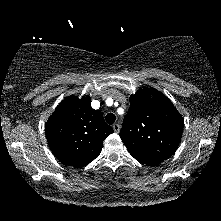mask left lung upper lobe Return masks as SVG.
I'll return each mask as SVG.
<instances>
[{
  "instance_id": "5c2ea615",
  "label": "left lung upper lobe",
  "mask_w": 221,
  "mask_h": 221,
  "mask_svg": "<svg viewBox=\"0 0 221 221\" xmlns=\"http://www.w3.org/2000/svg\"><path fill=\"white\" fill-rule=\"evenodd\" d=\"M130 103L119 136L136 160L158 165L178 147L184 120L169 98L153 87L131 95Z\"/></svg>"
}]
</instances>
